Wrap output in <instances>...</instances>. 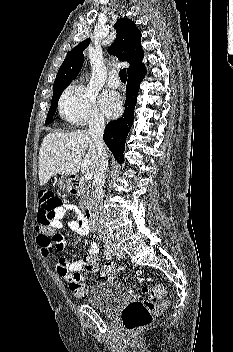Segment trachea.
Wrapping results in <instances>:
<instances>
[{
  "instance_id": "3493384b",
  "label": "trachea",
  "mask_w": 233,
  "mask_h": 352,
  "mask_svg": "<svg viewBox=\"0 0 233 352\" xmlns=\"http://www.w3.org/2000/svg\"><path fill=\"white\" fill-rule=\"evenodd\" d=\"M119 77H120L121 81H126L127 80L126 69L120 70Z\"/></svg>"
}]
</instances>
